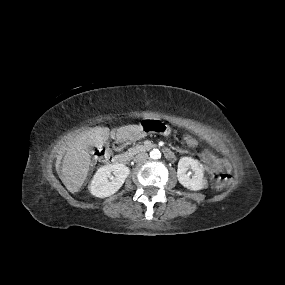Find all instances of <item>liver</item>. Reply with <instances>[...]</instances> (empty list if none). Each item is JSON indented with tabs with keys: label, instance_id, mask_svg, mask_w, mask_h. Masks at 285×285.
<instances>
[{
	"label": "liver",
	"instance_id": "obj_1",
	"mask_svg": "<svg viewBox=\"0 0 285 285\" xmlns=\"http://www.w3.org/2000/svg\"><path fill=\"white\" fill-rule=\"evenodd\" d=\"M140 131L139 125H127L117 129L113 135L117 138H130ZM108 127H94L80 133L68 147L62 162V181L71 193L80 190L86 180L91 156L88 146L100 147L104 145L110 135Z\"/></svg>",
	"mask_w": 285,
	"mask_h": 285
}]
</instances>
